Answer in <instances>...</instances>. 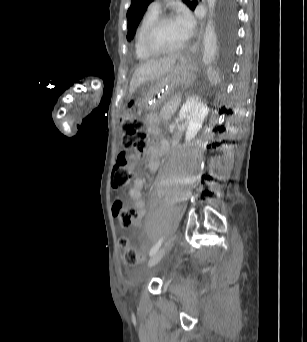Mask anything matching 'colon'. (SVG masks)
<instances>
[{"instance_id": "colon-1", "label": "colon", "mask_w": 307, "mask_h": 342, "mask_svg": "<svg viewBox=\"0 0 307 342\" xmlns=\"http://www.w3.org/2000/svg\"><path fill=\"white\" fill-rule=\"evenodd\" d=\"M140 106L134 102L122 110V120L120 130L122 132V149L118 156L114 158V165L110 176L111 190L121 191L132 177L130 166L132 160L143 155L147 144V133L143 122L139 119ZM113 215L119 220L120 225L128 228L132 224L136 209L132 205H127L121 198H115L113 201ZM120 247L124 251V261L127 265L142 266L143 258L131 246L130 239L122 236L119 239Z\"/></svg>"}]
</instances>
